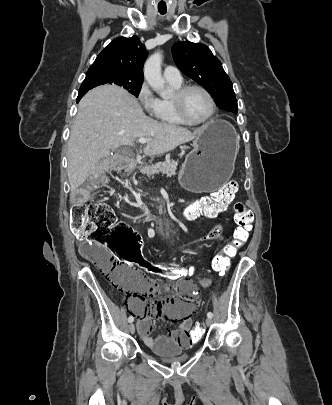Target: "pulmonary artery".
Returning <instances> with one entry per match:
<instances>
[{
  "label": "pulmonary artery",
  "mask_w": 332,
  "mask_h": 405,
  "mask_svg": "<svg viewBox=\"0 0 332 405\" xmlns=\"http://www.w3.org/2000/svg\"><path fill=\"white\" fill-rule=\"evenodd\" d=\"M163 76L167 81H170V82H174V83L182 82V76H181L180 71L176 67H173V66H167L164 69Z\"/></svg>",
  "instance_id": "obj_1"
}]
</instances>
